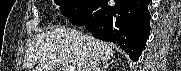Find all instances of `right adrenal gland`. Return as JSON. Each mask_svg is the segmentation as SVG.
Wrapping results in <instances>:
<instances>
[{
	"label": "right adrenal gland",
	"instance_id": "obj_1",
	"mask_svg": "<svg viewBox=\"0 0 181 71\" xmlns=\"http://www.w3.org/2000/svg\"><path fill=\"white\" fill-rule=\"evenodd\" d=\"M113 63H114V60H111L109 63H105L101 71H106L110 67V65H112Z\"/></svg>",
	"mask_w": 181,
	"mask_h": 71
}]
</instances>
